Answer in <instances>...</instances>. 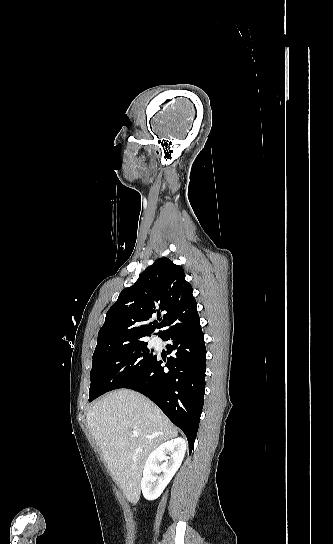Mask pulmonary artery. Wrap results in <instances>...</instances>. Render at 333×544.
Listing matches in <instances>:
<instances>
[{"instance_id":"obj_1","label":"pulmonary artery","mask_w":333,"mask_h":544,"mask_svg":"<svg viewBox=\"0 0 333 544\" xmlns=\"http://www.w3.org/2000/svg\"><path fill=\"white\" fill-rule=\"evenodd\" d=\"M153 343L156 344V345H158V344L160 343V339H159L157 336H155V337L153 338Z\"/></svg>"}]
</instances>
